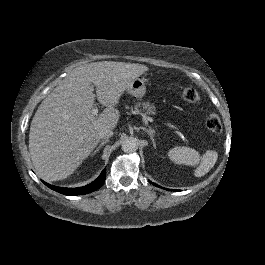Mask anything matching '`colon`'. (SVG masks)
<instances>
[{"instance_id":"obj_1","label":"colon","mask_w":265,"mask_h":265,"mask_svg":"<svg viewBox=\"0 0 265 265\" xmlns=\"http://www.w3.org/2000/svg\"><path fill=\"white\" fill-rule=\"evenodd\" d=\"M183 98L191 103V104H198L200 101L199 93L190 86H182L181 87ZM206 126L207 128L214 133H218L222 129V124L220 117L216 113H211L208 115L206 119Z\"/></svg>"}]
</instances>
